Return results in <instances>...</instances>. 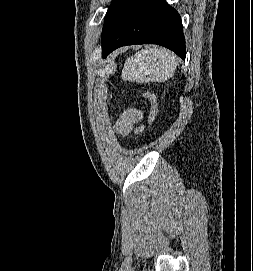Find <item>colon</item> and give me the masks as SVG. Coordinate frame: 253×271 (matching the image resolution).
<instances>
[{"label":"colon","mask_w":253,"mask_h":271,"mask_svg":"<svg viewBox=\"0 0 253 271\" xmlns=\"http://www.w3.org/2000/svg\"><path fill=\"white\" fill-rule=\"evenodd\" d=\"M144 97L150 102L151 105V114H150V125L154 129L157 124V120L160 112V103L156 94L152 91H147L144 94Z\"/></svg>","instance_id":"1"}]
</instances>
